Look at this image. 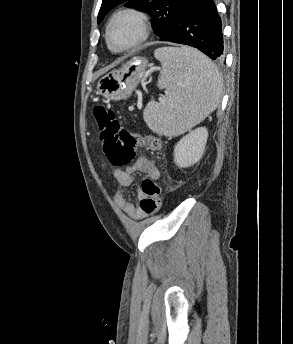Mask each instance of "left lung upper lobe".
<instances>
[{
    "mask_svg": "<svg viewBox=\"0 0 293 344\" xmlns=\"http://www.w3.org/2000/svg\"><path fill=\"white\" fill-rule=\"evenodd\" d=\"M188 0H102L98 23L114 7L121 3L125 6L147 12L152 17L155 34L161 39L173 27Z\"/></svg>",
    "mask_w": 293,
    "mask_h": 344,
    "instance_id": "5c2ea615",
    "label": "left lung upper lobe"
}]
</instances>
